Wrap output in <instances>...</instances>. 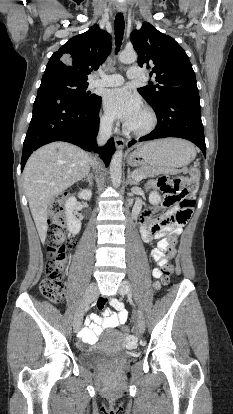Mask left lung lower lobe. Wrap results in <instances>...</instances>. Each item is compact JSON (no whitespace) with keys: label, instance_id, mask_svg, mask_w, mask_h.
I'll return each mask as SVG.
<instances>
[{"label":"left lung lower lobe","instance_id":"obj_1","mask_svg":"<svg viewBox=\"0 0 233 414\" xmlns=\"http://www.w3.org/2000/svg\"><path fill=\"white\" fill-rule=\"evenodd\" d=\"M155 113L158 120L157 127L150 134L141 137L139 142L165 137L184 138L196 144L206 155L198 93L171 97ZM136 142L132 140L128 146Z\"/></svg>","mask_w":233,"mask_h":414}]
</instances>
